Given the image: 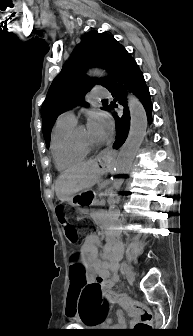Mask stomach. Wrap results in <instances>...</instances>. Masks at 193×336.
<instances>
[{"mask_svg": "<svg viewBox=\"0 0 193 336\" xmlns=\"http://www.w3.org/2000/svg\"><path fill=\"white\" fill-rule=\"evenodd\" d=\"M111 160V157H102L99 158V164L101 167H106L111 162ZM92 199L93 195L89 191H83L79 194L73 195L70 202L74 206H77L82 214H87L88 210L86 206L91 203Z\"/></svg>", "mask_w": 193, "mask_h": 336, "instance_id": "1", "label": "stomach"}]
</instances>
